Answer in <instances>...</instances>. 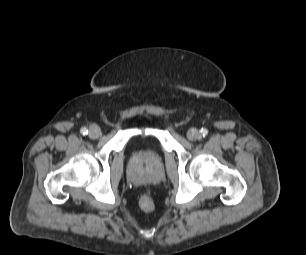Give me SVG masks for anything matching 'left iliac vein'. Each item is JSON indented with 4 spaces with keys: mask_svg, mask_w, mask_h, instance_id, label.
<instances>
[{
    "mask_svg": "<svg viewBox=\"0 0 306 255\" xmlns=\"http://www.w3.org/2000/svg\"><path fill=\"white\" fill-rule=\"evenodd\" d=\"M187 138L190 140V141H196L200 138V133L198 130L196 129H190L188 132H187Z\"/></svg>",
    "mask_w": 306,
    "mask_h": 255,
    "instance_id": "1",
    "label": "left iliac vein"
}]
</instances>
